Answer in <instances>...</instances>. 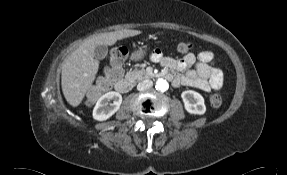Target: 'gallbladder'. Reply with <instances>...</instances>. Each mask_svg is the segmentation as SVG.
Returning <instances> with one entry per match:
<instances>
[{
  "label": "gallbladder",
  "mask_w": 287,
  "mask_h": 175,
  "mask_svg": "<svg viewBox=\"0 0 287 175\" xmlns=\"http://www.w3.org/2000/svg\"><path fill=\"white\" fill-rule=\"evenodd\" d=\"M106 48L104 46H98L95 49V58L100 60L103 59L105 57V53H106Z\"/></svg>",
  "instance_id": "1"
}]
</instances>
